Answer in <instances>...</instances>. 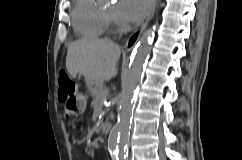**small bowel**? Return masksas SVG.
Masks as SVG:
<instances>
[{
  "instance_id": "c3829d8e",
  "label": "small bowel",
  "mask_w": 242,
  "mask_h": 160,
  "mask_svg": "<svg viewBox=\"0 0 242 160\" xmlns=\"http://www.w3.org/2000/svg\"><path fill=\"white\" fill-rule=\"evenodd\" d=\"M85 110V102H84V97H82V103L81 105L79 106L78 110H77V113H81Z\"/></svg>"
}]
</instances>
